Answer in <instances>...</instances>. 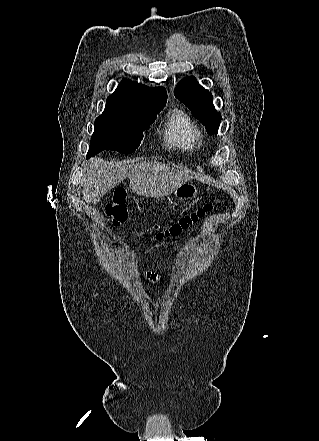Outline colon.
<instances>
[{"label":"colon","instance_id":"5ec220e1","mask_svg":"<svg viewBox=\"0 0 319 441\" xmlns=\"http://www.w3.org/2000/svg\"><path fill=\"white\" fill-rule=\"evenodd\" d=\"M213 207L214 203H208L164 226L155 225L148 229V232L153 235V239L155 240H162L165 237L178 235L192 223L209 213ZM105 214L112 226L117 227L126 221V193L124 190L115 192L112 201L105 206Z\"/></svg>","mask_w":319,"mask_h":441}]
</instances>
